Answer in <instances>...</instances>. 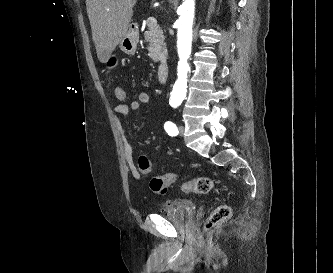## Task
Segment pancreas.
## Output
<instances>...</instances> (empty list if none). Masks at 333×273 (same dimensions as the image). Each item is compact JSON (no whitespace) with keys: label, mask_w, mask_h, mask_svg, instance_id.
I'll list each match as a JSON object with an SVG mask.
<instances>
[{"label":"pancreas","mask_w":333,"mask_h":273,"mask_svg":"<svg viewBox=\"0 0 333 273\" xmlns=\"http://www.w3.org/2000/svg\"><path fill=\"white\" fill-rule=\"evenodd\" d=\"M148 24V23H147ZM145 41L148 42V56L154 61L158 62L166 57L167 50L164 43V35L160 28H151L144 33Z\"/></svg>","instance_id":"obj_1"}]
</instances>
